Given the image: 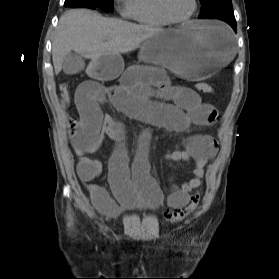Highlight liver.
I'll return each mask as SVG.
<instances>
[{"label":"liver","instance_id":"1","mask_svg":"<svg viewBox=\"0 0 279 279\" xmlns=\"http://www.w3.org/2000/svg\"><path fill=\"white\" fill-rule=\"evenodd\" d=\"M163 29L106 18L88 9H71L59 20L52 43L55 74L66 55L75 51L93 61L105 55H120L139 48Z\"/></svg>","mask_w":279,"mask_h":279}]
</instances>
